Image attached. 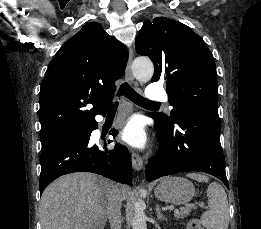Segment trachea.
<instances>
[{"label":"trachea","instance_id":"obj_1","mask_svg":"<svg viewBox=\"0 0 261 229\" xmlns=\"http://www.w3.org/2000/svg\"><path fill=\"white\" fill-rule=\"evenodd\" d=\"M124 95L127 99L134 102V104L143 106L144 104H153L152 100L145 99L142 95H139L132 87L127 83L124 82L118 91V96ZM118 107V102H115L110 108V112H115Z\"/></svg>","mask_w":261,"mask_h":229}]
</instances>
